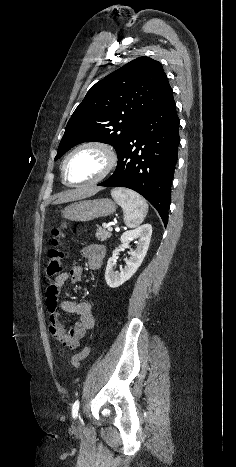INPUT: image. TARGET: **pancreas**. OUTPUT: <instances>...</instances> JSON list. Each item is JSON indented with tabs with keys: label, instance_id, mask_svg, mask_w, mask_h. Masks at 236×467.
<instances>
[{
	"label": "pancreas",
	"instance_id": "1",
	"mask_svg": "<svg viewBox=\"0 0 236 467\" xmlns=\"http://www.w3.org/2000/svg\"><path fill=\"white\" fill-rule=\"evenodd\" d=\"M111 232L110 231H106L105 228H101V227H98L97 228V231H96V238L100 241H105L107 240L108 238L111 237Z\"/></svg>",
	"mask_w": 236,
	"mask_h": 467
}]
</instances>
